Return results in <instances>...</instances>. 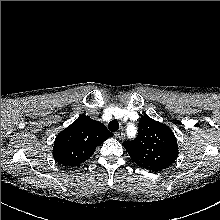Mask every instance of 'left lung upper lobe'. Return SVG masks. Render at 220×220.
<instances>
[{
  "instance_id": "left-lung-upper-lobe-1",
  "label": "left lung upper lobe",
  "mask_w": 220,
  "mask_h": 220,
  "mask_svg": "<svg viewBox=\"0 0 220 220\" xmlns=\"http://www.w3.org/2000/svg\"><path fill=\"white\" fill-rule=\"evenodd\" d=\"M138 136L122 145L140 167L162 171L172 165L178 156L177 140L172 130L149 116L139 120Z\"/></svg>"
}]
</instances>
